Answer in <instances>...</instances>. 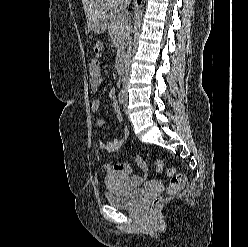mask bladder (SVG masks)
I'll list each match as a JSON object with an SVG mask.
<instances>
[{
	"mask_svg": "<svg viewBox=\"0 0 248 247\" xmlns=\"http://www.w3.org/2000/svg\"><path fill=\"white\" fill-rule=\"evenodd\" d=\"M107 201L118 208H129L135 205L147 192V187H139L129 192L126 178L122 173L113 172L105 179Z\"/></svg>",
	"mask_w": 248,
	"mask_h": 247,
	"instance_id": "1",
	"label": "bladder"
}]
</instances>
